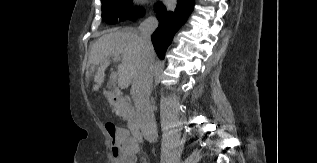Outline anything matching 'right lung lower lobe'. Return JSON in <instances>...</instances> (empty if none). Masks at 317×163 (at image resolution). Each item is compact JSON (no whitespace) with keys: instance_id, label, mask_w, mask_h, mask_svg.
I'll use <instances>...</instances> for the list:
<instances>
[{"instance_id":"obj_1","label":"right lung lower lobe","mask_w":317,"mask_h":163,"mask_svg":"<svg viewBox=\"0 0 317 163\" xmlns=\"http://www.w3.org/2000/svg\"><path fill=\"white\" fill-rule=\"evenodd\" d=\"M195 0H178V5L174 12L167 11L162 3L155 7L159 26L153 33L151 39L156 53L161 59H164L167 47L178 29L187 20L189 14L194 9Z\"/></svg>"}]
</instances>
